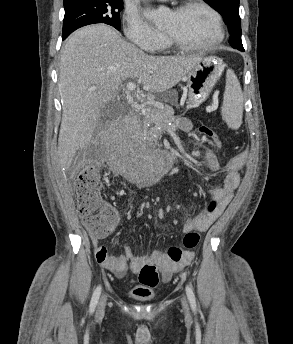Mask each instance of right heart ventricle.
<instances>
[{"instance_id":"obj_1","label":"right heart ventricle","mask_w":293,"mask_h":344,"mask_svg":"<svg viewBox=\"0 0 293 344\" xmlns=\"http://www.w3.org/2000/svg\"><path fill=\"white\" fill-rule=\"evenodd\" d=\"M155 53H169L170 52V45L166 40H163L162 43L153 50Z\"/></svg>"}]
</instances>
